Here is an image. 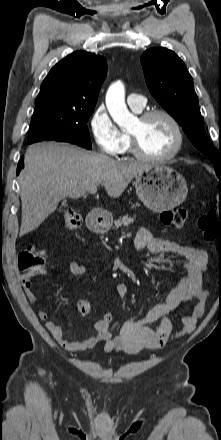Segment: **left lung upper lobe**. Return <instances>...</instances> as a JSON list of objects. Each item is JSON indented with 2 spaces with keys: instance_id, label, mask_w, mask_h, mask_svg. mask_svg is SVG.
Masks as SVG:
<instances>
[{
  "instance_id": "left-lung-upper-lobe-1",
  "label": "left lung upper lobe",
  "mask_w": 221,
  "mask_h": 440,
  "mask_svg": "<svg viewBox=\"0 0 221 440\" xmlns=\"http://www.w3.org/2000/svg\"><path fill=\"white\" fill-rule=\"evenodd\" d=\"M141 64L153 97L182 126L190 141L214 163L218 172L221 160L205 133L193 80L184 62L173 51L158 47L146 50Z\"/></svg>"
}]
</instances>
